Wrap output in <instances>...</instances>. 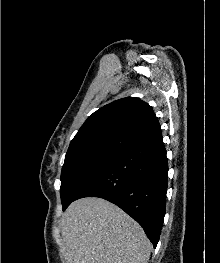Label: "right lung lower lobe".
I'll use <instances>...</instances> for the list:
<instances>
[{"label":"right lung lower lobe","instance_id":"obj_1","mask_svg":"<svg viewBox=\"0 0 220 263\" xmlns=\"http://www.w3.org/2000/svg\"><path fill=\"white\" fill-rule=\"evenodd\" d=\"M167 177L166 149L160 133L123 149L73 201L100 197L116 204L142 226L155 248L165 215Z\"/></svg>","mask_w":220,"mask_h":263}]
</instances>
